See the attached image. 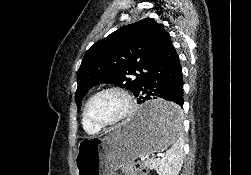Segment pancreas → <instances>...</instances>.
I'll list each match as a JSON object with an SVG mask.
<instances>
[{"label": "pancreas", "mask_w": 251, "mask_h": 175, "mask_svg": "<svg viewBox=\"0 0 251 175\" xmlns=\"http://www.w3.org/2000/svg\"><path fill=\"white\" fill-rule=\"evenodd\" d=\"M143 163L144 165H147V167H151V163H153V159H145Z\"/></svg>", "instance_id": "cf45deb5"}]
</instances>
